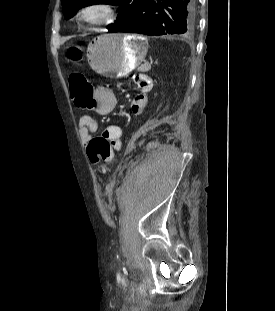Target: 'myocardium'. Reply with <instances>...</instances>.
Masks as SVG:
<instances>
[{
    "label": "myocardium",
    "instance_id": "1",
    "mask_svg": "<svg viewBox=\"0 0 275 311\" xmlns=\"http://www.w3.org/2000/svg\"><path fill=\"white\" fill-rule=\"evenodd\" d=\"M118 9L110 1L98 0L80 7L75 12V20L88 27L110 25L118 19Z\"/></svg>",
    "mask_w": 275,
    "mask_h": 311
}]
</instances>
